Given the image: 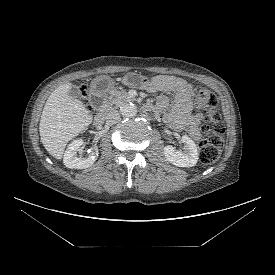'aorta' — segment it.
<instances>
[{
	"instance_id": "obj_1",
	"label": "aorta",
	"mask_w": 275,
	"mask_h": 275,
	"mask_svg": "<svg viewBox=\"0 0 275 275\" xmlns=\"http://www.w3.org/2000/svg\"><path fill=\"white\" fill-rule=\"evenodd\" d=\"M124 117H134L137 114V107L133 103H125L120 108Z\"/></svg>"
}]
</instances>
